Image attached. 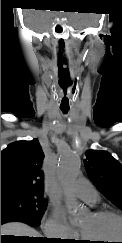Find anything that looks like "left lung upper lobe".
<instances>
[{
  "instance_id": "obj_1",
  "label": "left lung upper lobe",
  "mask_w": 122,
  "mask_h": 243,
  "mask_svg": "<svg viewBox=\"0 0 122 243\" xmlns=\"http://www.w3.org/2000/svg\"><path fill=\"white\" fill-rule=\"evenodd\" d=\"M84 165L97 189L122 210V165L106 151L89 150Z\"/></svg>"
}]
</instances>
